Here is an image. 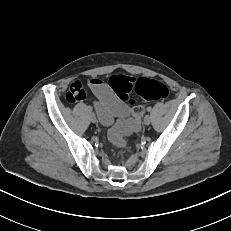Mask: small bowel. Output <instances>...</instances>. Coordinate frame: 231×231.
<instances>
[{"label":"small bowel","instance_id":"obj_1","mask_svg":"<svg viewBox=\"0 0 231 231\" xmlns=\"http://www.w3.org/2000/svg\"><path fill=\"white\" fill-rule=\"evenodd\" d=\"M87 85L96 98L94 106L103 124L110 125L115 118H123L133 113V109L129 108L101 80L93 78L88 81ZM67 99L71 102L85 99V92L80 81L76 80L71 84L67 92Z\"/></svg>","mask_w":231,"mask_h":231}]
</instances>
